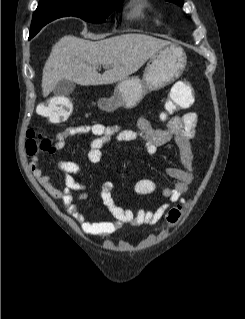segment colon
<instances>
[{
    "label": "colon",
    "instance_id": "obj_1",
    "mask_svg": "<svg viewBox=\"0 0 245 319\" xmlns=\"http://www.w3.org/2000/svg\"><path fill=\"white\" fill-rule=\"evenodd\" d=\"M189 107L187 100L184 97V92L171 91V96L168 100V110L170 112L181 111ZM73 105L69 98L65 96H58L44 101L40 107L39 112L43 117L52 123H61L68 119ZM51 149L50 141L34 129L27 131L26 150L29 156H34L40 152L49 151ZM188 202L173 207L167 215V222L171 225L176 224Z\"/></svg>",
    "mask_w": 245,
    "mask_h": 319
}]
</instances>
